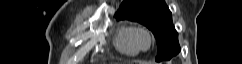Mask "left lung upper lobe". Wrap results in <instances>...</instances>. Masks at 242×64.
<instances>
[{"mask_svg":"<svg viewBox=\"0 0 242 64\" xmlns=\"http://www.w3.org/2000/svg\"><path fill=\"white\" fill-rule=\"evenodd\" d=\"M115 16L118 20L137 21L153 32L158 46L157 62L180 52L178 33L164 0H124Z\"/></svg>","mask_w":242,"mask_h":64,"instance_id":"5c2ea615","label":"left lung upper lobe"}]
</instances>
